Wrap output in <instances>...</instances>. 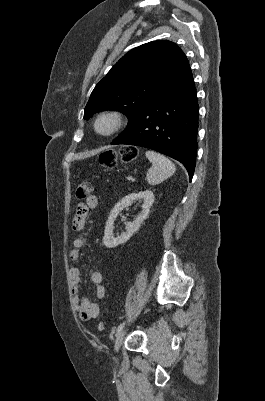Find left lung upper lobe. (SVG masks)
Returning a JSON list of instances; mask_svg holds the SVG:
<instances>
[{"mask_svg":"<svg viewBox=\"0 0 265 401\" xmlns=\"http://www.w3.org/2000/svg\"><path fill=\"white\" fill-rule=\"evenodd\" d=\"M189 62L173 42L158 40L127 52L96 85L84 118L103 110L127 115V128L172 82Z\"/></svg>","mask_w":265,"mask_h":401,"instance_id":"5c2ea615","label":"left lung upper lobe"}]
</instances>
